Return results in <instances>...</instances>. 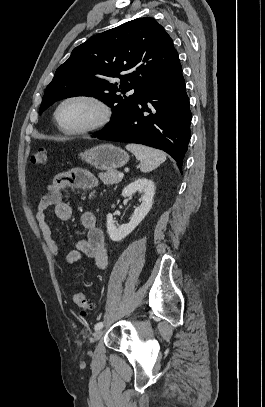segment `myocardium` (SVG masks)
Masks as SVG:
<instances>
[{
  "mask_svg": "<svg viewBox=\"0 0 265 407\" xmlns=\"http://www.w3.org/2000/svg\"><path fill=\"white\" fill-rule=\"evenodd\" d=\"M72 101H82L93 105L99 112L98 118L94 122L78 128L66 127L62 125L59 119L60 110L64 105ZM112 115V108L100 97L92 94L77 93L66 96L57 104L53 113V118L55 125L60 132L66 135H85L100 131L107 127L112 119Z\"/></svg>",
  "mask_w": 265,
  "mask_h": 407,
  "instance_id": "f54148a6",
  "label": "myocardium"
}]
</instances>
